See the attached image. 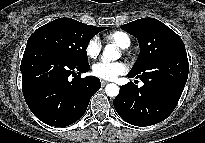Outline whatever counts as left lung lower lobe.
Masks as SVG:
<instances>
[{
	"mask_svg": "<svg viewBox=\"0 0 205 143\" xmlns=\"http://www.w3.org/2000/svg\"><path fill=\"white\" fill-rule=\"evenodd\" d=\"M189 65L185 50H176L154 61L139 74L144 85L133 82L120 87L114 99L119 116L134 126H150L165 120L175 109L188 77Z\"/></svg>",
	"mask_w": 205,
	"mask_h": 143,
	"instance_id": "0a47b994",
	"label": "left lung lower lobe"
}]
</instances>
